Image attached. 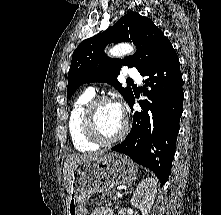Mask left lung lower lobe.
<instances>
[{"label":"left lung lower lobe","mask_w":221,"mask_h":215,"mask_svg":"<svg viewBox=\"0 0 221 215\" xmlns=\"http://www.w3.org/2000/svg\"><path fill=\"white\" fill-rule=\"evenodd\" d=\"M141 75L146 77L143 91L148 99L139 102L142 110L133 113L130 133L112 150L151 169L164 185L172 167L184 98L180 63L171 43ZM134 102L133 96L128 103L131 110Z\"/></svg>","instance_id":"0a47b994"}]
</instances>
